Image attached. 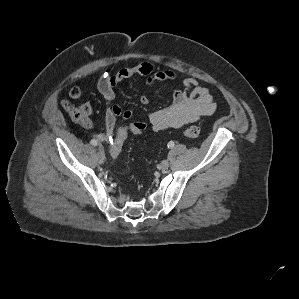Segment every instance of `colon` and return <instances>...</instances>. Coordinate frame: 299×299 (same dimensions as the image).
Masks as SVG:
<instances>
[{
	"instance_id": "colon-1",
	"label": "colon",
	"mask_w": 299,
	"mask_h": 299,
	"mask_svg": "<svg viewBox=\"0 0 299 299\" xmlns=\"http://www.w3.org/2000/svg\"><path fill=\"white\" fill-rule=\"evenodd\" d=\"M62 106L75 122L83 126H89L91 124L90 113L85 106H76L69 101H64ZM143 131L144 127L135 121H130L115 127L111 135L109 147L110 156L116 158L121 153L128 138L133 135L138 136L142 134ZM183 134L187 138L196 139L200 136L201 129L198 126H188L184 129Z\"/></svg>"
}]
</instances>
